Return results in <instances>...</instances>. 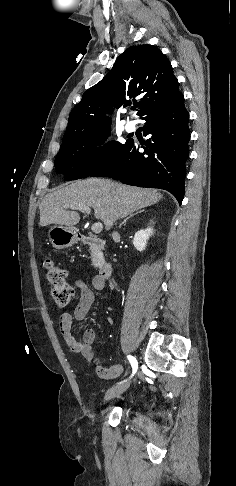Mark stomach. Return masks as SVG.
Here are the masks:
<instances>
[{
  "mask_svg": "<svg viewBox=\"0 0 236 486\" xmlns=\"http://www.w3.org/2000/svg\"><path fill=\"white\" fill-rule=\"evenodd\" d=\"M52 246L56 249L71 247L78 241L77 233L73 227L55 225L48 233Z\"/></svg>",
  "mask_w": 236,
  "mask_h": 486,
  "instance_id": "obj_1",
  "label": "stomach"
}]
</instances>
